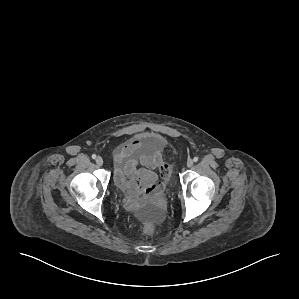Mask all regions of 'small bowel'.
<instances>
[{
  "mask_svg": "<svg viewBox=\"0 0 299 299\" xmlns=\"http://www.w3.org/2000/svg\"><path fill=\"white\" fill-rule=\"evenodd\" d=\"M138 143L136 139L129 140L114 153V182L125 192L131 207L161 194L170 176V168L162 154L159 151L140 152Z\"/></svg>",
  "mask_w": 299,
  "mask_h": 299,
  "instance_id": "1",
  "label": "small bowel"
}]
</instances>
